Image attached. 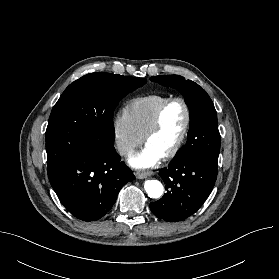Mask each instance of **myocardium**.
<instances>
[{"mask_svg": "<svg viewBox=\"0 0 279 279\" xmlns=\"http://www.w3.org/2000/svg\"><path fill=\"white\" fill-rule=\"evenodd\" d=\"M174 102H180L183 105L185 110V123L179 139L175 145L162 156L163 159H170L174 157L180 151L187 139L191 125V109L188 102L183 97H171L164 101L157 109L150 126L143 135L144 143L147 145L149 138L159 129L166 108Z\"/></svg>", "mask_w": 279, "mask_h": 279, "instance_id": "myocardium-1", "label": "myocardium"}]
</instances>
